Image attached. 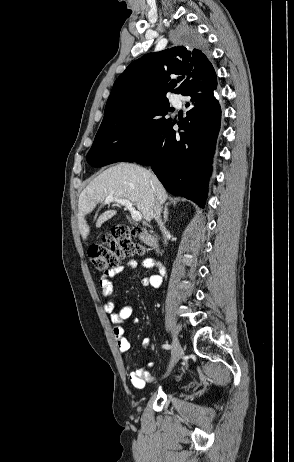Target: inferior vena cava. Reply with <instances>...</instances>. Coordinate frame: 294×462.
<instances>
[{
  "label": "inferior vena cava",
  "mask_w": 294,
  "mask_h": 462,
  "mask_svg": "<svg viewBox=\"0 0 294 462\" xmlns=\"http://www.w3.org/2000/svg\"><path fill=\"white\" fill-rule=\"evenodd\" d=\"M161 211H162L161 204L159 202H156L153 208V218L156 220V222L160 226V229L163 230L164 226L161 220Z\"/></svg>",
  "instance_id": "obj_1"
}]
</instances>
